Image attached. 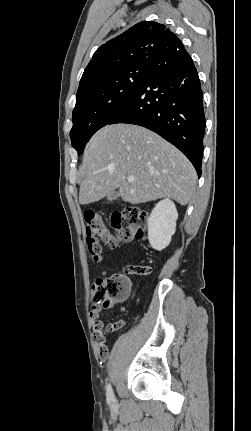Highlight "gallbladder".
I'll use <instances>...</instances> for the list:
<instances>
[{
  "label": "gallbladder",
  "mask_w": 251,
  "mask_h": 431,
  "mask_svg": "<svg viewBox=\"0 0 251 431\" xmlns=\"http://www.w3.org/2000/svg\"><path fill=\"white\" fill-rule=\"evenodd\" d=\"M120 196L119 192H113L110 195H108L107 199L109 201L115 200Z\"/></svg>",
  "instance_id": "1"
}]
</instances>
